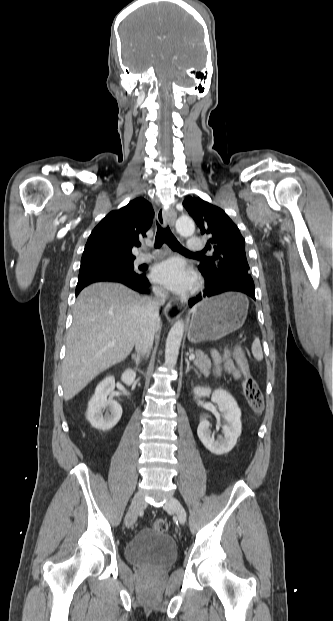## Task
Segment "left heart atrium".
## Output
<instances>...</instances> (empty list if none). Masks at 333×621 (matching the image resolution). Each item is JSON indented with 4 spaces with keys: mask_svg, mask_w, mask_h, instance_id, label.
<instances>
[{
    "mask_svg": "<svg viewBox=\"0 0 333 621\" xmlns=\"http://www.w3.org/2000/svg\"><path fill=\"white\" fill-rule=\"evenodd\" d=\"M151 277L155 283L175 292H185L196 282L194 274L178 259H168L157 264Z\"/></svg>",
    "mask_w": 333,
    "mask_h": 621,
    "instance_id": "obj_1",
    "label": "left heart atrium"
}]
</instances>
